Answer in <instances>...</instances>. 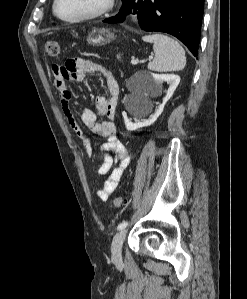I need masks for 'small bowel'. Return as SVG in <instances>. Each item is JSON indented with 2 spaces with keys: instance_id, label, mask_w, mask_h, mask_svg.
Segmentation results:
<instances>
[{
  "instance_id": "c3829d8e",
  "label": "small bowel",
  "mask_w": 247,
  "mask_h": 299,
  "mask_svg": "<svg viewBox=\"0 0 247 299\" xmlns=\"http://www.w3.org/2000/svg\"><path fill=\"white\" fill-rule=\"evenodd\" d=\"M87 73H100L106 78L108 95H100L96 99L95 110L84 109L81 114L82 123L94 134L105 138L100 149L103 152V162L98 169L101 176L107 179L97 190L100 200L106 201L116 190L125 168L130 163V156L125 146L116 135L114 118L116 114L119 87L112 73L101 64L83 59H69L65 64H53L52 74L54 85L58 91L63 114L76 133L83 139V152L90 157L93 152L91 140L79 126L70 107L71 93L66 86V81L82 82ZM99 118H102L100 121Z\"/></svg>"
}]
</instances>
